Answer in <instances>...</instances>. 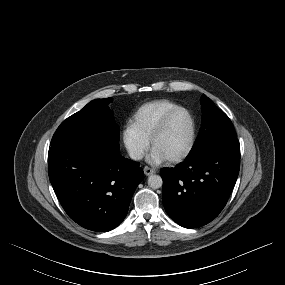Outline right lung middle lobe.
Returning a JSON list of instances; mask_svg holds the SVG:
<instances>
[{
  "label": "right lung middle lobe",
  "instance_id": "dd1d6c3e",
  "mask_svg": "<svg viewBox=\"0 0 285 285\" xmlns=\"http://www.w3.org/2000/svg\"><path fill=\"white\" fill-rule=\"evenodd\" d=\"M111 98L96 99L61 123L51 140V147L83 142L119 149V127L108 108Z\"/></svg>",
  "mask_w": 285,
  "mask_h": 285
}]
</instances>
